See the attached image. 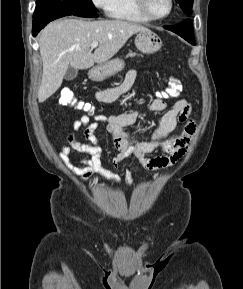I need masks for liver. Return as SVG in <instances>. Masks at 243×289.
Here are the masks:
<instances>
[{
    "label": "liver",
    "instance_id": "obj_1",
    "mask_svg": "<svg viewBox=\"0 0 243 289\" xmlns=\"http://www.w3.org/2000/svg\"><path fill=\"white\" fill-rule=\"evenodd\" d=\"M146 29L122 20L58 19L49 23L39 38L43 74L38 101L44 102L60 88L69 66L83 70L105 63L133 34ZM94 41L99 45L92 53Z\"/></svg>",
    "mask_w": 243,
    "mask_h": 289
}]
</instances>
